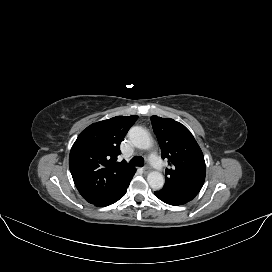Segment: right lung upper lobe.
Returning a JSON list of instances; mask_svg holds the SVG:
<instances>
[{
	"mask_svg": "<svg viewBox=\"0 0 272 272\" xmlns=\"http://www.w3.org/2000/svg\"><path fill=\"white\" fill-rule=\"evenodd\" d=\"M138 116H116L88 126L73 144L69 168L74 183L89 203L94 204L116 191L135 168L117 162L120 143Z\"/></svg>",
	"mask_w": 272,
	"mask_h": 272,
	"instance_id": "right-lung-upper-lobe-1",
	"label": "right lung upper lobe"
}]
</instances>
